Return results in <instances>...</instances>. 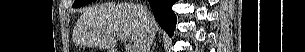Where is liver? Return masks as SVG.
I'll return each mask as SVG.
<instances>
[{
    "label": "liver",
    "instance_id": "liver-1",
    "mask_svg": "<svg viewBox=\"0 0 305 52\" xmlns=\"http://www.w3.org/2000/svg\"><path fill=\"white\" fill-rule=\"evenodd\" d=\"M150 26L155 34L159 26L151 16ZM78 33L93 46L113 48L115 36L126 34L135 48L145 32V24L137 5L132 3H108L87 9L76 24Z\"/></svg>",
    "mask_w": 305,
    "mask_h": 52
}]
</instances>
